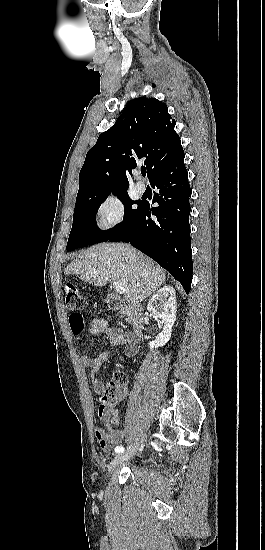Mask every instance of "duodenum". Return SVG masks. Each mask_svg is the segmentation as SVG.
I'll use <instances>...</instances> for the list:
<instances>
[{
  "label": "duodenum",
  "instance_id": "obj_1",
  "mask_svg": "<svg viewBox=\"0 0 265 550\" xmlns=\"http://www.w3.org/2000/svg\"><path fill=\"white\" fill-rule=\"evenodd\" d=\"M106 302L112 311H123L127 314L133 333V345L137 347L144 332L143 307L136 302L127 301L114 295H108Z\"/></svg>",
  "mask_w": 265,
  "mask_h": 550
}]
</instances>
